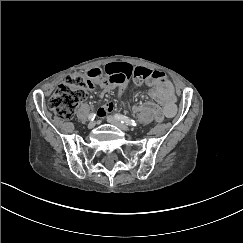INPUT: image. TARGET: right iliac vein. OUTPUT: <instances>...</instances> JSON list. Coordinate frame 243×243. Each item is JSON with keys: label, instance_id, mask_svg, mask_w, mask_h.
<instances>
[{"label": "right iliac vein", "instance_id": "obj_1", "mask_svg": "<svg viewBox=\"0 0 243 243\" xmlns=\"http://www.w3.org/2000/svg\"><path fill=\"white\" fill-rule=\"evenodd\" d=\"M95 124H96L95 121H91V122H89V124H88V128H89V129L94 128Z\"/></svg>", "mask_w": 243, "mask_h": 243}]
</instances>
